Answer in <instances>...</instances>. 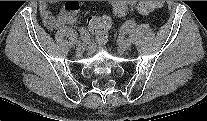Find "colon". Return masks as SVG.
Instances as JSON below:
<instances>
[{
	"mask_svg": "<svg viewBox=\"0 0 207 121\" xmlns=\"http://www.w3.org/2000/svg\"><path fill=\"white\" fill-rule=\"evenodd\" d=\"M161 6V1H139L130 4L123 1H115L112 5V11L114 15L122 17L131 11L149 14ZM88 24L98 42L103 43L107 40L111 27V19L108 15L93 16L89 19Z\"/></svg>",
	"mask_w": 207,
	"mask_h": 121,
	"instance_id": "colon-1",
	"label": "colon"
}]
</instances>
